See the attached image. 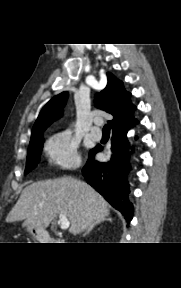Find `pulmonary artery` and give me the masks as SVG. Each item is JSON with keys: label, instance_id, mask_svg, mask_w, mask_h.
Masks as SVG:
<instances>
[{"label": "pulmonary artery", "instance_id": "e3ab8cb5", "mask_svg": "<svg viewBox=\"0 0 181 288\" xmlns=\"http://www.w3.org/2000/svg\"><path fill=\"white\" fill-rule=\"evenodd\" d=\"M90 134L96 140H99L102 138V130L98 127L97 120H95V125L91 128Z\"/></svg>", "mask_w": 181, "mask_h": 288}]
</instances>
